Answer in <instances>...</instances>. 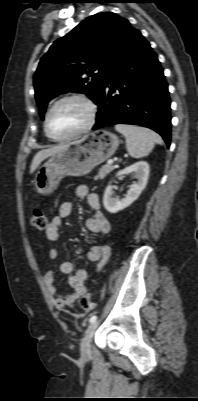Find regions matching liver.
I'll list each match as a JSON object with an SVG mask.
<instances>
[{
    "label": "liver",
    "mask_w": 198,
    "mask_h": 401,
    "mask_svg": "<svg viewBox=\"0 0 198 401\" xmlns=\"http://www.w3.org/2000/svg\"><path fill=\"white\" fill-rule=\"evenodd\" d=\"M64 146L65 145H59V146H55V147H52L49 149H43V150L38 151L32 160V163L30 166V173H33L39 167V165L41 164V162L43 160L58 153L59 151H61V149Z\"/></svg>",
    "instance_id": "1"
}]
</instances>
